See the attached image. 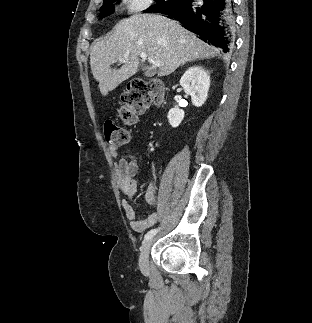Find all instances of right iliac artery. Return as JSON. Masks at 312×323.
<instances>
[{
	"label": "right iliac artery",
	"mask_w": 312,
	"mask_h": 323,
	"mask_svg": "<svg viewBox=\"0 0 312 323\" xmlns=\"http://www.w3.org/2000/svg\"><path fill=\"white\" fill-rule=\"evenodd\" d=\"M157 232H158V229H151L145 235L144 240H148V239L152 238Z\"/></svg>",
	"instance_id": "right-iliac-artery-1"
}]
</instances>
